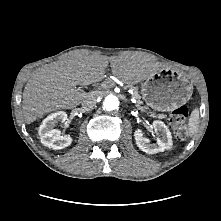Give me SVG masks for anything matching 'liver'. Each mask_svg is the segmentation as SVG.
<instances>
[{"label":"liver","instance_id":"6515ba94","mask_svg":"<svg viewBox=\"0 0 221 221\" xmlns=\"http://www.w3.org/2000/svg\"><path fill=\"white\" fill-rule=\"evenodd\" d=\"M110 63L112 74L127 84H137L157 72L152 59L126 53L107 57L86 50L71 51L58 61L43 65L31 73L23 92V119L30 124L45 114L71 109L88 94L77 88L101 81Z\"/></svg>","mask_w":221,"mask_h":221}]
</instances>
